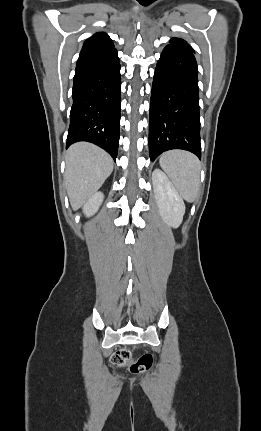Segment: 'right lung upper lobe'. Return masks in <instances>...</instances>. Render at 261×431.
I'll list each match as a JSON object with an SVG mask.
<instances>
[{"instance_id": "right-lung-upper-lobe-1", "label": "right lung upper lobe", "mask_w": 261, "mask_h": 431, "mask_svg": "<svg viewBox=\"0 0 261 431\" xmlns=\"http://www.w3.org/2000/svg\"><path fill=\"white\" fill-rule=\"evenodd\" d=\"M114 48L110 37L104 33L99 32L88 38L83 45L82 51L94 50V49H111Z\"/></svg>"}]
</instances>
